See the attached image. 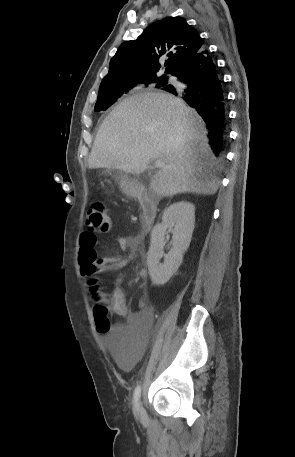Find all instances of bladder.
Here are the masks:
<instances>
[{"mask_svg":"<svg viewBox=\"0 0 295 457\" xmlns=\"http://www.w3.org/2000/svg\"><path fill=\"white\" fill-rule=\"evenodd\" d=\"M147 345V338H105V347H113L112 355L122 369L136 365Z\"/></svg>","mask_w":295,"mask_h":457,"instance_id":"obj_1","label":"bladder"}]
</instances>
